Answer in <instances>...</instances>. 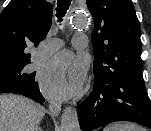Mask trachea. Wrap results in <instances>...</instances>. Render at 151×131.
I'll list each match as a JSON object with an SVG mask.
<instances>
[{
	"label": "trachea",
	"instance_id": "trachea-1",
	"mask_svg": "<svg viewBox=\"0 0 151 131\" xmlns=\"http://www.w3.org/2000/svg\"><path fill=\"white\" fill-rule=\"evenodd\" d=\"M71 1L72 0H58L56 8L57 11L56 17L58 18V22L62 21V18L65 16L66 11L71 5Z\"/></svg>",
	"mask_w": 151,
	"mask_h": 131
}]
</instances>
